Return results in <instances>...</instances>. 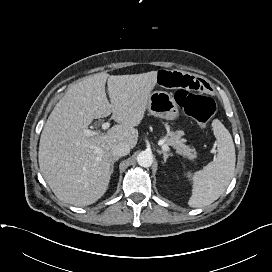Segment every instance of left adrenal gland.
<instances>
[{"instance_id":"left-adrenal-gland-1","label":"left adrenal gland","mask_w":272,"mask_h":272,"mask_svg":"<svg viewBox=\"0 0 272 272\" xmlns=\"http://www.w3.org/2000/svg\"><path fill=\"white\" fill-rule=\"evenodd\" d=\"M159 153H160V154H161V153L163 154V160H164L165 163H166V161H167V159H168L169 156H173L172 153H167V152L164 151V150L159 151Z\"/></svg>"}]
</instances>
